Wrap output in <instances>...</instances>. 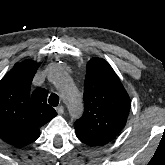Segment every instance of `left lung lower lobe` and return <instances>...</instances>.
I'll return each instance as SVG.
<instances>
[{"instance_id":"1","label":"left lung lower lobe","mask_w":165,"mask_h":165,"mask_svg":"<svg viewBox=\"0 0 165 165\" xmlns=\"http://www.w3.org/2000/svg\"><path fill=\"white\" fill-rule=\"evenodd\" d=\"M76 135H77L78 139H79L81 142H83V143H85V144H87V145H90V146H97V145H100L99 143H97V142H96L95 140H93L92 138L87 137V136H85V135H83V134H81V133L76 132Z\"/></svg>"}]
</instances>
